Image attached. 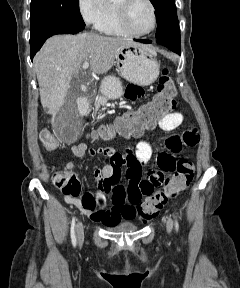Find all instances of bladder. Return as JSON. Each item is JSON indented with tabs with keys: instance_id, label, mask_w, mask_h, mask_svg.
Listing matches in <instances>:
<instances>
[{
	"instance_id": "obj_1",
	"label": "bladder",
	"mask_w": 240,
	"mask_h": 288,
	"mask_svg": "<svg viewBox=\"0 0 240 288\" xmlns=\"http://www.w3.org/2000/svg\"><path fill=\"white\" fill-rule=\"evenodd\" d=\"M107 230L113 232H135L138 230V226L131 222H121L107 226Z\"/></svg>"
}]
</instances>
